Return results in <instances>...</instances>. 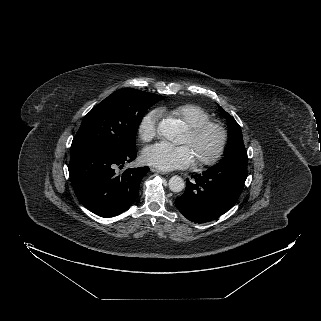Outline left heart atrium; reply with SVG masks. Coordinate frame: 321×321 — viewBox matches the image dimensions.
<instances>
[{"mask_svg":"<svg viewBox=\"0 0 321 321\" xmlns=\"http://www.w3.org/2000/svg\"><path fill=\"white\" fill-rule=\"evenodd\" d=\"M143 160L150 166L168 171L191 165L194 155L188 145L175 146L161 142L145 148Z\"/></svg>","mask_w":321,"mask_h":321,"instance_id":"1","label":"left heart atrium"}]
</instances>
